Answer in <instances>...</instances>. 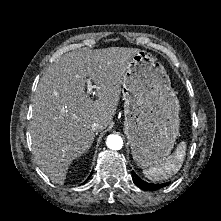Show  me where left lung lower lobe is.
Segmentation results:
<instances>
[{
    "instance_id": "obj_1",
    "label": "left lung lower lobe",
    "mask_w": 221,
    "mask_h": 221,
    "mask_svg": "<svg viewBox=\"0 0 221 221\" xmlns=\"http://www.w3.org/2000/svg\"><path fill=\"white\" fill-rule=\"evenodd\" d=\"M132 178H133V181L135 183V185L137 187H139L140 189H143V190H149V191H155L159 188H162V187H165L166 185L169 184V182L167 183H163V184H152V183H147L143 180H141L135 173L134 171H132Z\"/></svg>"
}]
</instances>
